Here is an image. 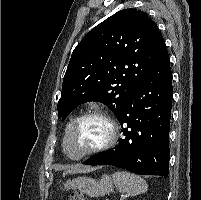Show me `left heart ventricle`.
Masks as SVG:
<instances>
[{"mask_svg": "<svg viewBox=\"0 0 201 200\" xmlns=\"http://www.w3.org/2000/svg\"><path fill=\"white\" fill-rule=\"evenodd\" d=\"M108 135L106 123L99 118L81 121L73 130L69 147L72 155H79L102 144Z\"/></svg>", "mask_w": 201, "mask_h": 200, "instance_id": "left-heart-ventricle-1", "label": "left heart ventricle"}]
</instances>
